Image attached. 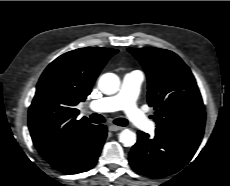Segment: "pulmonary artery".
I'll return each instance as SVG.
<instances>
[{"label": "pulmonary artery", "instance_id": "e3ab8cb5", "mask_svg": "<svg viewBox=\"0 0 230 186\" xmlns=\"http://www.w3.org/2000/svg\"><path fill=\"white\" fill-rule=\"evenodd\" d=\"M144 76L140 71L124 75L119 92L113 96L91 101L89 108L95 112L123 110L128 120L137 128L153 133L155 124L138 108L136 98Z\"/></svg>", "mask_w": 230, "mask_h": 186}]
</instances>
